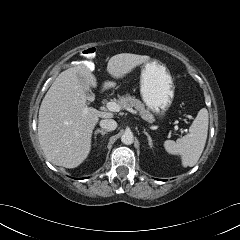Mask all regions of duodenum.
I'll return each mask as SVG.
<instances>
[{
    "label": "duodenum",
    "instance_id": "1",
    "mask_svg": "<svg viewBox=\"0 0 240 240\" xmlns=\"http://www.w3.org/2000/svg\"><path fill=\"white\" fill-rule=\"evenodd\" d=\"M106 88H107V86H106V85H102V86H101V88H100V90H101V91H105V90H106Z\"/></svg>",
    "mask_w": 240,
    "mask_h": 240
}]
</instances>
